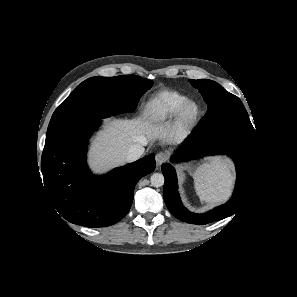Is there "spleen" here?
<instances>
[{"label":"spleen","instance_id":"3e777b00","mask_svg":"<svg viewBox=\"0 0 297 297\" xmlns=\"http://www.w3.org/2000/svg\"><path fill=\"white\" fill-rule=\"evenodd\" d=\"M193 178L198 196L202 201L209 203L225 199L233 182L228 164L220 159L197 168Z\"/></svg>","mask_w":297,"mask_h":297}]
</instances>
